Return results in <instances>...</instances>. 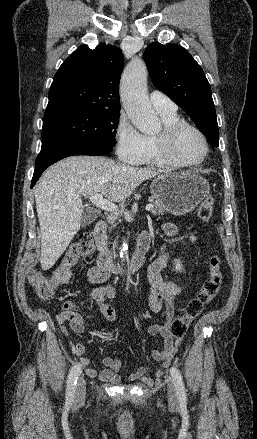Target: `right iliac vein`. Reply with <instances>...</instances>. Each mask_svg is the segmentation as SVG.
Listing matches in <instances>:
<instances>
[{
  "label": "right iliac vein",
  "mask_w": 257,
  "mask_h": 439,
  "mask_svg": "<svg viewBox=\"0 0 257 439\" xmlns=\"http://www.w3.org/2000/svg\"><path fill=\"white\" fill-rule=\"evenodd\" d=\"M75 397L77 401H83L85 399V382L83 377L78 378L75 389Z\"/></svg>",
  "instance_id": "1"
}]
</instances>
